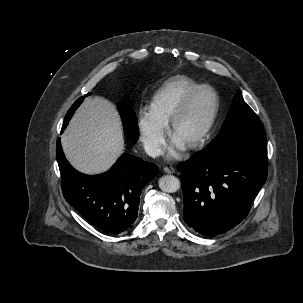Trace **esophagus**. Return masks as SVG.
<instances>
[{
	"label": "esophagus",
	"instance_id": "esophagus-1",
	"mask_svg": "<svg viewBox=\"0 0 303 303\" xmlns=\"http://www.w3.org/2000/svg\"><path fill=\"white\" fill-rule=\"evenodd\" d=\"M163 171H164L165 173H168V174H173V173H175V169L172 168V167H164V168H163Z\"/></svg>",
	"mask_w": 303,
	"mask_h": 303
}]
</instances>
